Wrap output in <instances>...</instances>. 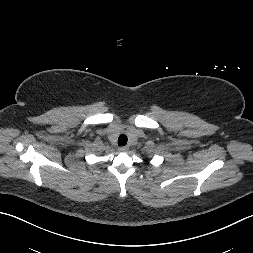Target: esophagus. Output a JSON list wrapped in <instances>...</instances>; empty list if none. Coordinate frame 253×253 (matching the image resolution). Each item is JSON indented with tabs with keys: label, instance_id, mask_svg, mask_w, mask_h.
<instances>
[{
	"label": "esophagus",
	"instance_id": "obj_1",
	"mask_svg": "<svg viewBox=\"0 0 253 253\" xmlns=\"http://www.w3.org/2000/svg\"><path fill=\"white\" fill-rule=\"evenodd\" d=\"M128 147L127 146H121V147H119V151L120 152H126V151H128Z\"/></svg>",
	"mask_w": 253,
	"mask_h": 253
}]
</instances>
